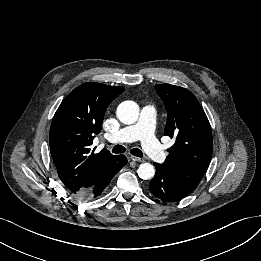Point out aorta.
<instances>
[{"label": "aorta", "mask_w": 261, "mask_h": 261, "mask_svg": "<svg viewBox=\"0 0 261 261\" xmlns=\"http://www.w3.org/2000/svg\"><path fill=\"white\" fill-rule=\"evenodd\" d=\"M117 117L124 124H133L138 120L139 107L134 101H124L117 108ZM141 179H151L155 175V169L150 163H142L138 168Z\"/></svg>", "instance_id": "obj_1"}]
</instances>
